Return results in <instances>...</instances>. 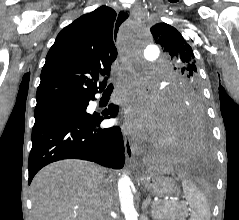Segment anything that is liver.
Here are the masks:
<instances>
[{
	"label": "liver",
	"mask_w": 239,
	"mask_h": 220,
	"mask_svg": "<svg viewBox=\"0 0 239 220\" xmlns=\"http://www.w3.org/2000/svg\"><path fill=\"white\" fill-rule=\"evenodd\" d=\"M107 170L67 159L40 170L31 183L34 220H97Z\"/></svg>",
	"instance_id": "liver-1"
}]
</instances>
